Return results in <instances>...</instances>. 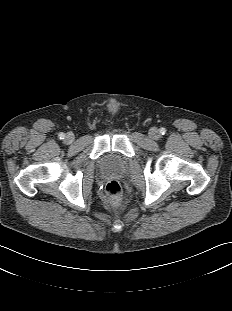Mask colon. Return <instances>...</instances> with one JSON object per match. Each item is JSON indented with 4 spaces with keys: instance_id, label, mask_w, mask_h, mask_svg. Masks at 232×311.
Returning a JSON list of instances; mask_svg holds the SVG:
<instances>
[{
    "instance_id": "colon-1",
    "label": "colon",
    "mask_w": 232,
    "mask_h": 311,
    "mask_svg": "<svg viewBox=\"0 0 232 311\" xmlns=\"http://www.w3.org/2000/svg\"><path fill=\"white\" fill-rule=\"evenodd\" d=\"M106 194L108 197L109 202L114 206L117 207L122 202V189L116 180L110 181L106 185Z\"/></svg>"
}]
</instances>
